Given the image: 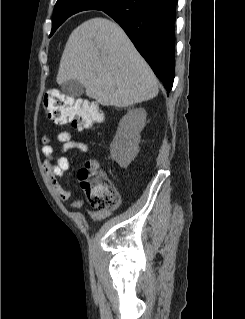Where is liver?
I'll list each match as a JSON object with an SVG mask.
<instances>
[{"mask_svg":"<svg viewBox=\"0 0 245 319\" xmlns=\"http://www.w3.org/2000/svg\"><path fill=\"white\" fill-rule=\"evenodd\" d=\"M72 79L103 106L128 107L158 94L156 76L123 29L102 17L83 22L68 38L56 81Z\"/></svg>","mask_w":245,"mask_h":319,"instance_id":"1","label":"liver"}]
</instances>
